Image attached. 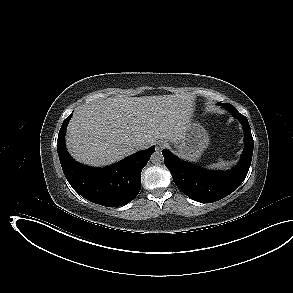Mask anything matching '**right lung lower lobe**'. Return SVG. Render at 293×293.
<instances>
[{
  "label": "right lung lower lobe",
  "instance_id": "right-lung-lower-lobe-1",
  "mask_svg": "<svg viewBox=\"0 0 293 293\" xmlns=\"http://www.w3.org/2000/svg\"><path fill=\"white\" fill-rule=\"evenodd\" d=\"M67 117L59 131L57 151L63 172L72 188L87 200L107 207H118L132 201L141 189V171L155 151H139L105 168L82 165L69 155L64 142Z\"/></svg>",
  "mask_w": 293,
  "mask_h": 293
}]
</instances>
